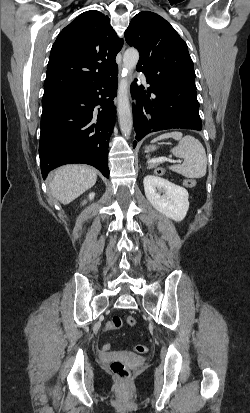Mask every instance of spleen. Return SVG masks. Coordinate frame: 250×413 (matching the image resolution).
<instances>
[{"label": "spleen", "instance_id": "1", "mask_svg": "<svg viewBox=\"0 0 250 413\" xmlns=\"http://www.w3.org/2000/svg\"><path fill=\"white\" fill-rule=\"evenodd\" d=\"M173 138L179 143L171 152L174 156L182 158V164H175L169 169L187 178H202L207 171V156L201 142L190 135H185L179 131L162 134L152 142Z\"/></svg>", "mask_w": 250, "mask_h": 413}]
</instances>
